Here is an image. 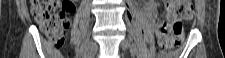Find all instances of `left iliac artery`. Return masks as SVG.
<instances>
[{
    "mask_svg": "<svg viewBox=\"0 0 225 58\" xmlns=\"http://www.w3.org/2000/svg\"><path fill=\"white\" fill-rule=\"evenodd\" d=\"M133 50L136 51V46L133 45ZM137 55L140 56V53L137 52Z\"/></svg>",
    "mask_w": 225,
    "mask_h": 58,
    "instance_id": "1",
    "label": "left iliac artery"
}]
</instances>
